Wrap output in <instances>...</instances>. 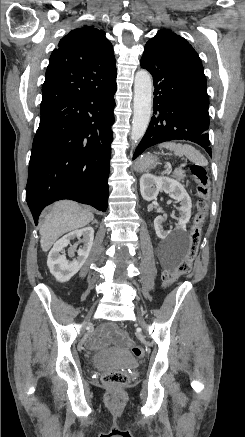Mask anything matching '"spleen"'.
Instances as JSON below:
<instances>
[{"mask_svg":"<svg viewBox=\"0 0 245 437\" xmlns=\"http://www.w3.org/2000/svg\"><path fill=\"white\" fill-rule=\"evenodd\" d=\"M159 147L167 148L173 150L177 156H186L192 162L199 166H204L207 164L206 158L200 153L199 150L194 148L189 144H180L175 142H165L159 145Z\"/></svg>","mask_w":245,"mask_h":437,"instance_id":"spleen-1","label":"spleen"}]
</instances>
